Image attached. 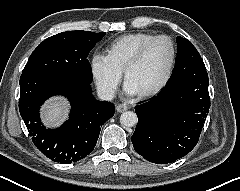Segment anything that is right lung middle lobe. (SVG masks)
<instances>
[{"mask_svg":"<svg viewBox=\"0 0 240 191\" xmlns=\"http://www.w3.org/2000/svg\"><path fill=\"white\" fill-rule=\"evenodd\" d=\"M105 32L67 31L41 42L32 52L22 75L58 73L83 83L92 82L88 53Z\"/></svg>","mask_w":240,"mask_h":191,"instance_id":"right-lung-middle-lobe-1","label":"right lung middle lobe"}]
</instances>
